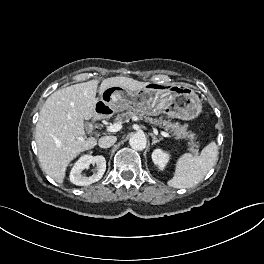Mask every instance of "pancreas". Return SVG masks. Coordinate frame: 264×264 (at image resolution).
<instances>
[{
    "instance_id": "cf45deb5",
    "label": "pancreas",
    "mask_w": 264,
    "mask_h": 264,
    "mask_svg": "<svg viewBox=\"0 0 264 264\" xmlns=\"http://www.w3.org/2000/svg\"><path fill=\"white\" fill-rule=\"evenodd\" d=\"M136 116L139 117L140 119H144L148 123L164 128L169 133L175 135L177 139L189 140L188 150L194 155L198 154L199 143L195 141V134L192 131H187L185 126H182L178 123H174L170 119L166 120L162 116L159 117L158 119H153L151 117L144 116L140 113L129 111L126 113L118 114L115 117L114 122L116 123L128 122L130 119Z\"/></svg>"
}]
</instances>
